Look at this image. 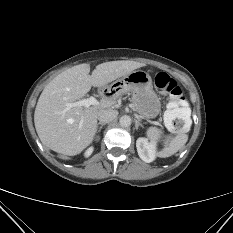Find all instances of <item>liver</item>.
Returning a JSON list of instances; mask_svg holds the SVG:
<instances>
[{"label": "liver", "mask_w": 233, "mask_h": 233, "mask_svg": "<svg viewBox=\"0 0 233 233\" xmlns=\"http://www.w3.org/2000/svg\"><path fill=\"white\" fill-rule=\"evenodd\" d=\"M145 66L135 61H110L99 64L90 73L87 63L73 66L57 75L42 91L34 113L37 134L43 145L68 156L88 147L97 131L98 113L116 103L115 97H103L98 106L67 109V103L83 98L91 87L108 83Z\"/></svg>", "instance_id": "obj_1"}]
</instances>
